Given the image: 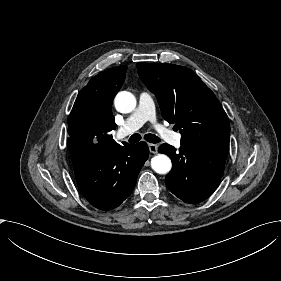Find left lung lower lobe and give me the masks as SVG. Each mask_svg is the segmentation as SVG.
I'll use <instances>...</instances> for the list:
<instances>
[{
    "mask_svg": "<svg viewBox=\"0 0 281 281\" xmlns=\"http://www.w3.org/2000/svg\"><path fill=\"white\" fill-rule=\"evenodd\" d=\"M168 155L173 168L167 174L168 189L186 203H199L217 188L224 172L229 148L180 146L179 152L168 144L158 150Z\"/></svg>",
    "mask_w": 281,
    "mask_h": 281,
    "instance_id": "left-lung-lower-lobe-1",
    "label": "left lung lower lobe"
}]
</instances>
